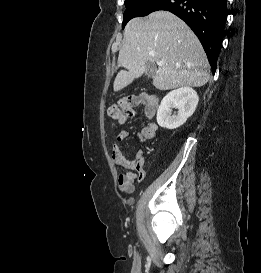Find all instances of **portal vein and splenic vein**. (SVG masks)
I'll return each mask as SVG.
<instances>
[{
	"instance_id": "1",
	"label": "portal vein and splenic vein",
	"mask_w": 261,
	"mask_h": 273,
	"mask_svg": "<svg viewBox=\"0 0 261 273\" xmlns=\"http://www.w3.org/2000/svg\"><path fill=\"white\" fill-rule=\"evenodd\" d=\"M157 64H158L159 66H163V65H164V62L160 61V62H157Z\"/></svg>"
}]
</instances>
